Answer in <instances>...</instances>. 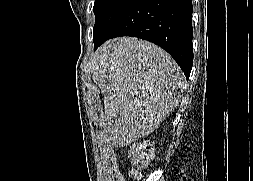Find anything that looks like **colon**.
<instances>
[{
  "mask_svg": "<svg viewBox=\"0 0 253 181\" xmlns=\"http://www.w3.org/2000/svg\"><path fill=\"white\" fill-rule=\"evenodd\" d=\"M133 155L139 166H144L148 159L152 156V148L148 144H140L133 150Z\"/></svg>",
  "mask_w": 253,
  "mask_h": 181,
  "instance_id": "obj_1",
  "label": "colon"
}]
</instances>
